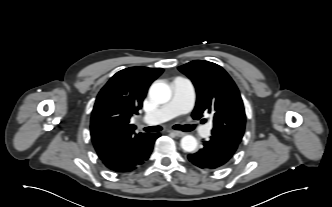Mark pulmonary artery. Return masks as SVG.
Here are the masks:
<instances>
[{
	"label": "pulmonary artery",
	"instance_id": "obj_1",
	"mask_svg": "<svg viewBox=\"0 0 332 207\" xmlns=\"http://www.w3.org/2000/svg\"><path fill=\"white\" fill-rule=\"evenodd\" d=\"M173 95L171 100L158 110L146 113L143 121L146 124L156 125L168 121L178 115L188 113L194 105L195 91L192 83L183 77H176L172 81ZM211 124L201 127L200 134L209 136Z\"/></svg>",
	"mask_w": 332,
	"mask_h": 207
}]
</instances>
